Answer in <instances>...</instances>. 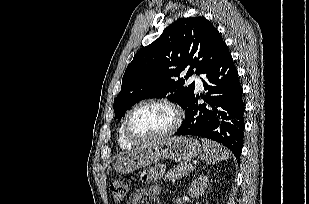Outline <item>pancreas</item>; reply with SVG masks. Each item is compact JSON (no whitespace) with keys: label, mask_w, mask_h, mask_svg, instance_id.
Segmentation results:
<instances>
[{"label":"pancreas","mask_w":309,"mask_h":204,"mask_svg":"<svg viewBox=\"0 0 309 204\" xmlns=\"http://www.w3.org/2000/svg\"><path fill=\"white\" fill-rule=\"evenodd\" d=\"M193 170V168L190 167V164L187 163H181L168 171L164 177V180L167 181H176L178 179H181L188 173H190Z\"/></svg>","instance_id":"pancreas-1"}]
</instances>
